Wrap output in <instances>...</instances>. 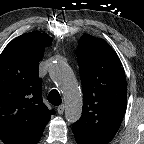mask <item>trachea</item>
<instances>
[{
    "mask_svg": "<svg viewBox=\"0 0 144 144\" xmlns=\"http://www.w3.org/2000/svg\"><path fill=\"white\" fill-rule=\"evenodd\" d=\"M48 101L54 106L60 105L62 100H61L59 92L55 89L51 90L48 95Z\"/></svg>",
    "mask_w": 144,
    "mask_h": 144,
    "instance_id": "3493384b",
    "label": "trachea"
}]
</instances>
